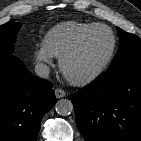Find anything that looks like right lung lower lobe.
<instances>
[{"label": "right lung lower lobe", "mask_w": 141, "mask_h": 141, "mask_svg": "<svg viewBox=\"0 0 141 141\" xmlns=\"http://www.w3.org/2000/svg\"><path fill=\"white\" fill-rule=\"evenodd\" d=\"M55 103L51 82L32 75L16 57L0 56V141H36Z\"/></svg>", "instance_id": "98d812e1"}]
</instances>
